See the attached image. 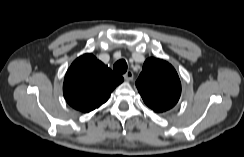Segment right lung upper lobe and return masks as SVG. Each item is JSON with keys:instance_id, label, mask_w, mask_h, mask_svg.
Here are the masks:
<instances>
[{"instance_id": "1", "label": "right lung upper lobe", "mask_w": 244, "mask_h": 157, "mask_svg": "<svg viewBox=\"0 0 244 157\" xmlns=\"http://www.w3.org/2000/svg\"><path fill=\"white\" fill-rule=\"evenodd\" d=\"M123 77L113 73L92 54L77 58L68 69L63 85L69 105L89 112L105 103Z\"/></svg>"}]
</instances>
